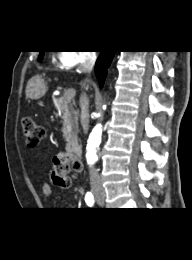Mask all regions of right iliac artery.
I'll use <instances>...</instances> for the list:
<instances>
[{
    "mask_svg": "<svg viewBox=\"0 0 192 260\" xmlns=\"http://www.w3.org/2000/svg\"><path fill=\"white\" fill-rule=\"evenodd\" d=\"M85 201L87 203L88 206H93L94 205V196L92 195V193L88 192L86 195H85Z\"/></svg>",
    "mask_w": 192,
    "mask_h": 260,
    "instance_id": "1",
    "label": "right iliac artery"
}]
</instances>
